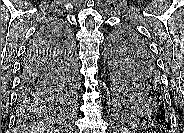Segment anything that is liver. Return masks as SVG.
<instances>
[{
    "label": "liver",
    "mask_w": 184,
    "mask_h": 133,
    "mask_svg": "<svg viewBox=\"0 0 184 133\" xmlns=\"http://www.w3.org/2000/svg\"><path fill=\"white\" fill-rule=\"evenodd\" d=\"M30 133H57L58 130L52 127L48 122H36L30 125L28 130Z\"/></svg>",
    "instance_id": "liver-1"
}]
</instances>
